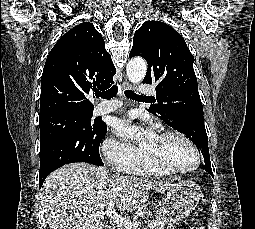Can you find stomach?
Segmentation results:
<instances>
[{
  "label": "stomach",
  "instance_id": "0dacf381",
  "mask_svg": "<svg viewBox=\"0 0 255 229\" xmlns=\"http://www.w3.org/2000/svg\"><path fill=\"white\" fill-rule=\"evenodd\" d=\"M202 197L200 186L191 180L170 184L162 206L156 212L157 221L170 226L183 219L198 205Z\"/></svg>",
  "mask_w": 255,
  "mask_h": 229
}]
</instances>
